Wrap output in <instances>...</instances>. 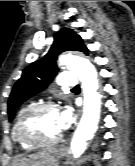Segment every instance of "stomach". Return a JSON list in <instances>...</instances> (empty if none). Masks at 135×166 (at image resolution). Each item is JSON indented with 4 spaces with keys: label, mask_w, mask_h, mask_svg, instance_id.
I'll return each mask as SVG.
<instances>
[{
    "label": "stomach",
    "mask_w": 135,
    "mask_h": 166,
    "mask_svg": "<svg viewBox=\"0 0 135 166\" xmlns=\"http://www.w3.org/2000/svg\"><path fill=\"white\" fill-rule=\"evenodd\" d=\"M44 153L31 160L28 166H58V161L63 155L60 148H49L43 150Z\"/></svg>",
    "instance_id": "1"
}]
</instances>
